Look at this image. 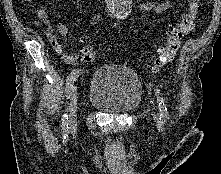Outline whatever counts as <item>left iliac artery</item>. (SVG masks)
I'll return each instance as SVG.
<instances>
[{
  "label": "left iliac artery",
  "mask_w": 221,
  "mask_h": 174,
  "mask_svg": "<svg viewBox=\"0 0 221 174\" xmlns=\"http://www.w3.org/2000/svg\"><path fill=\"white\" fill-rule=\"evenodd\" d=\"M156 95H157V103H158V107L160 111V119L165 121L168 119L169 114H168V110L165 105V102L162 96L160 95L159 89H156Z\"/></svg>",
  "instance_id": "44dca946"
}]
</instances>
